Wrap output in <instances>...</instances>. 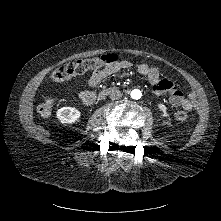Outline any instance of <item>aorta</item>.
<instances>
[{"instance_id":"1","label":"aorta","mask_w":221,"mask_h":221,"mask_svg":"<svg viewBox=\"0 0 221 221\" xmlns=\"http://www.w3.org/2000/svg\"><path fill=\"white\" fill-rule=\"evenodd\" d=\"M132 99H139L141 97V92L138 89H134L130 92Z\"/></svg>"}]
</instances>
